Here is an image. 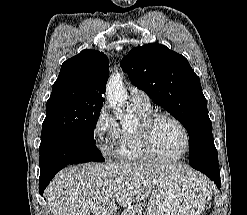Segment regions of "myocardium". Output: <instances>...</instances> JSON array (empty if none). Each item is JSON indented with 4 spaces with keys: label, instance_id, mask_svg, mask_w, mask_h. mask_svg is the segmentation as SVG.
<instances>
[{
    "label": "myocardium",
    "instance_id": "myocardium-1",
    "mask_svg": "<svg viewBox=\"0 0 247 215\" xmlns=\"http://www.w3.org/2000/svg\"><path fill=\"white\" fill-rule=\"evenodd\" d=\"M163 119H168L176 123L181 128L184 134V138H185L184 149L182 153L178 156H174V157L164 156L160 154L155 147L154 139H153L154 127L159 121ZM138 134L145 151L154 160L177 161L182 159L187 154L190 148V133L187 127L179 118L169 113H154L144 118L138 128Z\"/></svg>",
    "mask_w": 247,
    "mask_h": 215
}]
</instances>
